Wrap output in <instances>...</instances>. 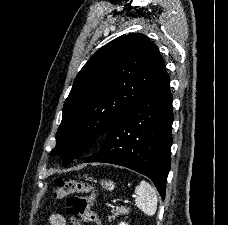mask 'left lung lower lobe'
I'll return each mask as SVG.
<instances>
[{"mask_svg": "<svg viewBox=\"0 0 228 225\" xmlns=\"http://www.w3.org/2000/svg\"><path fill=\"white\" fill-rule=\"evenodd\" d=\"M165 70L156 82L106 132L99 152L84 162L124 166L149 177L165 198L170 170L172 94Z\"/></svg>", "mask_w": 228, "mask_h": 225, "instance_id": "left-lung-lower-lobe-1", "label": "left lung lower lobe"}]
</instances>
